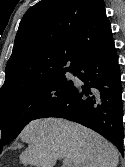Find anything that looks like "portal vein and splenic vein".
I'll return each mask as SVG.
<instances>
[{"label":"portal vein and splenic vein","instance_id":"18ae733b","mask_svg":"<svg viewBox=\"0 0 125 167\" xmlns=\"http://www.w3.org/2000/svg\"><path fill=\"white\" fill-rule=\"evenodd\" d=\"M63 163L65 165H71V161L68 158H64Z\"/></svg>","mask_w":125,"mask_h":167}]
</instances>
